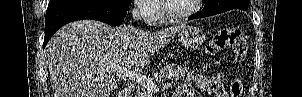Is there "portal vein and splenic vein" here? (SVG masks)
Instances as JSON below:
<instances>
[{"label":"portal vein and splenic vein","instance_id":"obj_1","mask_svg":"<svg viewBox=\"0 0 302 97\" xmlns=\"http://www.w3.org/2000/svg\"><path fill=\"white\" fill-rule=\"evenodd\" d=\"M105 71L107 73H114L117 72L120 75H123L125 77H129L130 79L136 81L140 85H142L144 88L148 89L152 92H157L159 89L157 85L149 78L145 77L144 75L140 73H136L135 71H129L125 67H122L120 65H108L105 68Z\"/></svg>","mask_w":302,"mask_h":97}]
</instances>
